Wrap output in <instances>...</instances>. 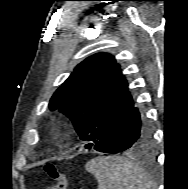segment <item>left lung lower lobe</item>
<instances>
[{
    "instance_id": "obj_1",
    "label": "left lung lower lobe",
    "mask_w": 188,
    "mask_h": 189,
    "mask_svg": "<svg viewBox=\"0 0 188 189\" xmlns=\"http://www.w3.org/2000/svg\"><path fill=\"white\" fill-rule=\"evenodd\" d=\"M150 141L151 130L138 108L133 107L93 148L105 153H121L144 147Z\"/></svg>"
}]
</instances>
